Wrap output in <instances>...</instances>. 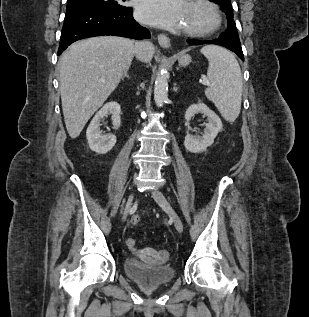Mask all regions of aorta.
<instances>
[{
    "label": "aorta",
    "mask_w": 309,
    "mask_h": 317,
    "mask_svg": "<svg viewBox=\"0 0 309 317\" xmlns=\"http://www.w3.org/2000/svg\"><path fill=\"white\" fill-rule=\"evenodd\" d=\"M168 99V76L165 69L158 72L154 85V100L158 107H162Z\"/></svg>",
    "instance_id": "aorta-1"
}]
</instances>
